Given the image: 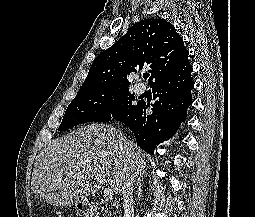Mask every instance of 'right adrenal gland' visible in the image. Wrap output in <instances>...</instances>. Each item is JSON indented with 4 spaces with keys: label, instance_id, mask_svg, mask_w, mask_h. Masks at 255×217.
Listing matches in <instances>:
<instances>
[{
    "label": "right adrenal gland",
    "instance_id": "1",
    "mask_svg": "<svg viewBox=\"0 0 255 217\" xmlns=\"http://www.w3.org/2000/svg\"><path fill=\"white\" fill-rule=\"evenodd\" d=\"M136 186H137V191H136L137 200H140L141 194H142V176L138 177Z\"/></svg>",
    "mask_w": 255,
    "mask_h": 217
}]
</instances>
